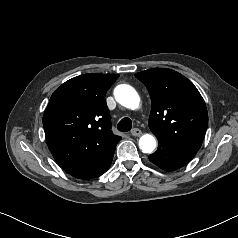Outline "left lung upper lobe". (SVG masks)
I'll return each instance as SVG.
<instances>
[{
  "label": "left lung upper lobe",
  "mask_w": 238,
  "mask_h": 238,
  "mask_svg": "<svg viewBox=\"0 0 238 238\" xmlns=\"http://www.w3.org/2000/svg\"><path fill=\"white\" fill-rule=\"evenodd\" d=\"M151 97L150 130L159 144L197 153L205 136L208 113L197 88L180 73L154 68L135 74Z\"/></svg>",
  "instance_id": "5c2ea615"
}]
</instances>
